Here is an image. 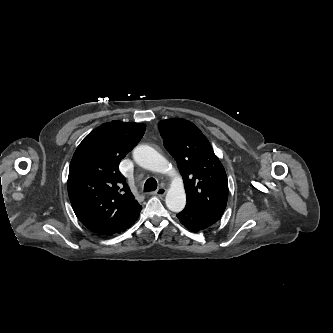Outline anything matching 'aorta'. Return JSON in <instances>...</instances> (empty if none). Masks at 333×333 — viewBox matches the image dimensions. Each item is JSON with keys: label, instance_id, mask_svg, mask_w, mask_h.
I'll return each instance as SVG.
<instances>
[{"label": "aorta", "instance_id": "1", "mask_svg": "<svg viewBox=\"0 0 333 333\" xmlns=\"http://www.w3.org/2000/svg\"><path fill=\"white\" fill-rule=\"evenodd\" d=\"M133 158L139 166L147 170L161 173L168 168L167 160L148 145L137 146L133 151ZM173 176V181L166 194L165 203L169 210L180 212L185 207L186 194L181 177L176 175L174 171Z\"/></svg>", "mask_w": 333, "mask_h": 333}]
</instances>
